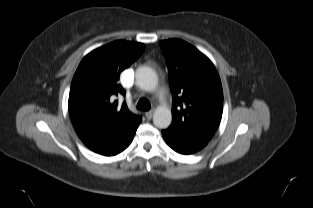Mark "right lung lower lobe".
I'll return each instance as SVG.
<instances>
[{
    "label": "right lung lower lobe",
    "instance_id": "1",
    "mask_svg": "<svg viewBox=\"0 0 313 208\" xmlns=\"http://www.w3.org/2000/svg\"><path fill=\"white\" fill-rule=\"evenodd\" d=\"M135 132L136 130L130 134H122L118 131L78 133V136L82 142L95 153L112 156L122 152L130 145Z\"/></svg>",
    "mask_w": 313,
    "mask_h": 208
}]
</instances>
